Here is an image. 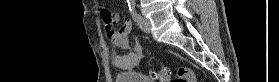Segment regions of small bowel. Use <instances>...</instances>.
Returning a JSON list of instances; mask_svg holds the SVG:
<instances>
[{"instance_id":"c3829d8e","label":"small bowel","mask_w":279,"mask_h":82,"mask_svg":"<svg viewBox=\"0 0 279 82\" xmlns=\"http://www.w3.org/2000/svg\"><path fill=\"white\" fill-rule=\"evenodd\" d=\"M117 22L118 17L113 16L112 24H104V29L113 44L128 52L115 54L114 65L124 70H133L141 62L142 47L136 38L133 48L130 47L127 36L132 30V22L126 21L118 30H113V25Z\"/></svg>"}]
</instances>
